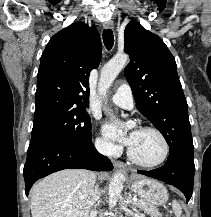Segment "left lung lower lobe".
<instances>
[{
	"label": "left lung lower lobe",
	"instance_id": "obj_1",
	"mask_svg": "<svg viewBox=\"0 0 211 217\" xmlns=\"http://www.w3.org/2000/svg\"><path fill=\"white\" fill-rule=\"evenodd\" d=\"M195 165L193 153L173 152L169 154L166 163L151 171H138V173L162 180L177 187L183 192L187 202L193 191Z\"/></svg>",
	"mask_w": 211,
	"mask_h": 217
}]
</instances>
